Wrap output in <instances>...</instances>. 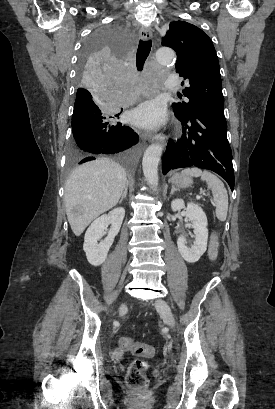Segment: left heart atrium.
Here are the masks:
<instances>
[{"label":"left heart atrium","instance_id":"1","mask_svg":"<svg viewBox=\"0 0 275 409\" xmlns=\"http://www.w3.org/2000/svg\"><path fill=\"white\" fill-rule=\"evenodd\" d=\"M130 121L144 128H156L165 122L164 109L154 101L145 102L130 114Z\"/></svg>","mask_w":275,"mask_h":409}]
</instances>
